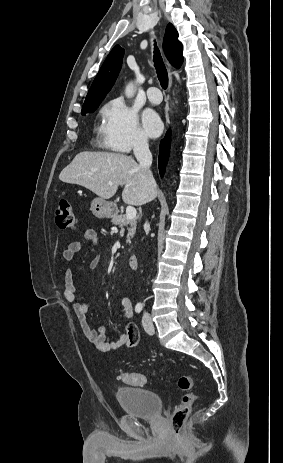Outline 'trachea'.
<instances>
[{
    "label": "trachea",
    "mask_w": 283,
    "mask_h": 463,
    "mask_svg": "<svg viewBox=\"0 0 283 463\" xmlns=\"http://www.w3.org/2000/svg\"><path fill=\"white\" fill-rule=\"evenodd\" d=\"M153 61H154V66L156 68L157 76H158V79L160 81L161 87L163 89H167V87H168L167 70H166V67H165V65L163 63L160 51L156 46L154 47Z\"/></svg>",
    "instance_id": "1"
}]
</instances>
